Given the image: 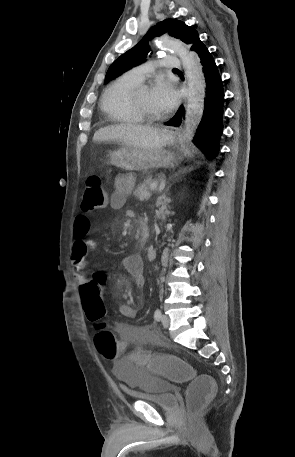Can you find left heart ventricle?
I'll use <instances>...</instances> for the list:
<instances>
[{
  "instance_id": "1",
  "label": "left heart ventricle",
  "mask_w": 295,
  "mask_h": 457,
  "mask_svg": "<svg viewBox=\"0 0 295 457\" xmlns=\"http://www.w3.org/2000/svg\"><path fill=\"white\" fill-rule=\"evenodd\" d=\"M138 100L147 111L154 114H160L162 112L154 104L150 89H142L138 94Z\"/></svg>"
}]
</instances>
